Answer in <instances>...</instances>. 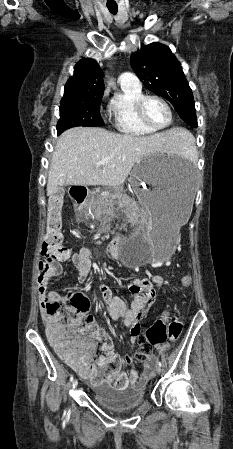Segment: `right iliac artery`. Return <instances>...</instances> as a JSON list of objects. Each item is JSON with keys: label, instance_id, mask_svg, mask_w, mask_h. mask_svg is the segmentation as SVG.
<instances>
[{"label": "right iliac artery", "instance_id": "obj_1", "mask_svg": "<svg viewBox=\"0 0 233 449\" xmlns=\"http://www.w3.org/2000/svg\"><path fill=\"white\" fill-rule=\"evenodd\" d=\"M70 381H73V375L71 376ZM64 414H66V412Z\"/></svg>", "mask_w": 233, "mask_h": 449}]
</instances>
